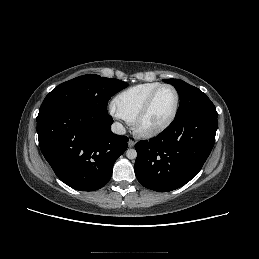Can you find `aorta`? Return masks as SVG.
Instances as JSON below:
<instances>
[{"instance_id":"obj_1","label":"aorta","mask_w":259,"mask_h":259,"mask_svg":"<svg viewBox=\"0 0 259 259\" xmlns=\"http://www.w3.org/2000/svg\"><path fill=\"white\" fill-rule=\"evenodd\" d=\"M126 156L128 159H135L137 157V152L135 149H128L126 151Z\"/></svg>"}]
</instances>
